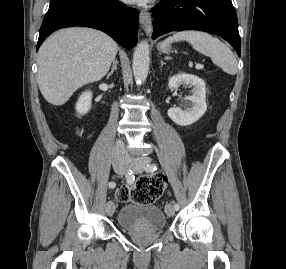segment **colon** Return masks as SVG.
I'll use <instances>...</instances> for the list:
<instances>
[{
	"label": "colon",
	"mask_w": 286,
	"mask_h": 269,
	"mask_svg": "<svg viewBox=\"0 0 286 269\" xmlns=\"http://www.w3.org/2000/svg\"><path fill=\"white\" fill-rule=\"evenodd\" d=\"M166 180L161 175L141 176L133 186H121L115 190V198L121 202L152 203L162 192Z\"/></svg>",
	"instance_id": "obj_1"
}]
</instances>
